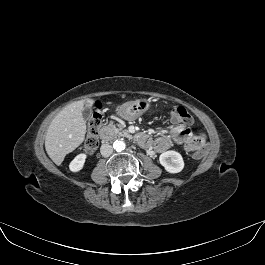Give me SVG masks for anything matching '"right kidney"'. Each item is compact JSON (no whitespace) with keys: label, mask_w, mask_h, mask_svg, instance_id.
Masks as SVG:
<instances>
[{"label":"right kidney","mask_w":265,"mask_h":265,"mask_svg":"<svg viewBox=\"0 0 265 265\" xmlns=\"http://www.w3.org/2000/svg\"><path fill=\"white\" fill-rule=\"evenodd\" d=\"M87 158L86 154H79L77 155L70 163L69 165V169L72 172H79L80 170H82L85 160Z\"/></svg>","instance_id":"1"}]
</instances>
